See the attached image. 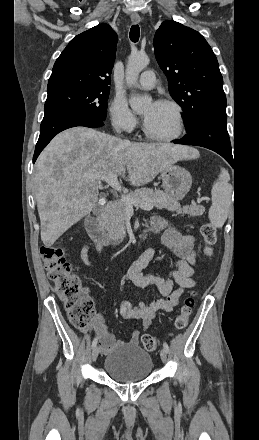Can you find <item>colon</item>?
I'll return each mask as SVG.
<instances>
[{"label": "colon", "instance_id": "5ec220e1", "mask_svg": "<svg viewBox=\"0 0 259 440\" xmlns=\"http://www.w3.org/2000/svg\"><path fill=\"white\" fill-rule=\"evenodd\" d=\"M201 235L204 240V253L212 254V247L217 241V230L211 223H205L201 227ZM41 257L59 298L63 301L65 310L71 323L78 328H85L94 314L93 301L83 292L81 281L71 269L66 259V251L60 245H45L40 248ZM195 304L194 294L188 296L180 313L175 319L174 326L177 330L184 329L188 322ZM142 343L146 350L153 351L158 348V338L144 335Z\"/></svg>", "mask_w": 259, "mask_h": 440}]
</instances>
